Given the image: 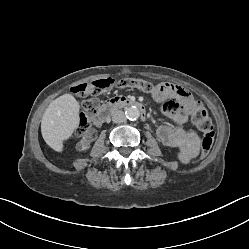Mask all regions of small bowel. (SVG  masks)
Here are the masks:
<instances>
[{
  "label": "small bowel",
  "mask_w": 249,
  "mask_h": 249,
  "mask_svg": "<svg viewBox=\"0 0 249 249\" xmlns=\"http://www.w3.org/2000/svg\"><path fill=\"white\" fill-rule=\"evenodd\" d=\"M156 94L160 100L168 99L163 109L178 124L175 128L160 126L157 136L164 145L176 148L180 160L188 163L198 155L200 135L194 127L184 125L194 116L200 103L188 90L170 82L158 84Z\"/></svg>",
  "instance_id": "obj_1"
}]
</instances>
